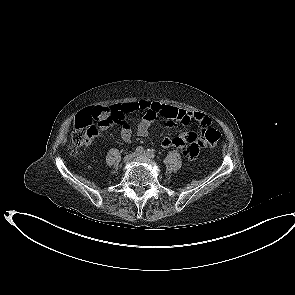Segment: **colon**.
<instances>
[{"instance_id": "5ec220e1", "label": "colon", "mask_w": 295, "mask_h": 295, "mask_svg": "<svg viewBox=\"0 0 295 295\" xmlns=\"http://www.w3.org/2000/svg\"><path fill=\"white\" fill-rule=\"evenodd\" d=\"M108 114L107 108L96 107L77 116L71 134V155H77L78 148L89 144L94 139L98 132L97 125L100 118ZM201 127L205 141L214 148L220 136L219 132L211 123H204Z\"/></svg>"}]
</instances>
